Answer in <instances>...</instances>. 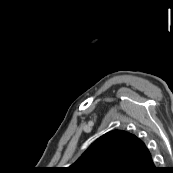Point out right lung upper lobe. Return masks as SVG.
Returning a JSON list of instances; mask_svg holds the SVG:
<instances>
[{
	"label": "right lung upper lobe",
	"instance_id": "1",
	"mask_svg": "<svg viewBox=\"0 0 173 173\" xmlns=\"http://www.w3.org/2000/svg\"><path fill=\"white\" fill-rule=\"evenodd\" d=\"M150 156L144 142L133 134L114 130L98 138L70 167L67 173H125L132 165Z\"/></svg>",
	"mask_w": 173,
	"mask_h": 173
}]
</instances>
